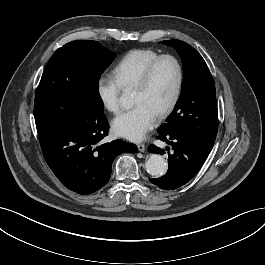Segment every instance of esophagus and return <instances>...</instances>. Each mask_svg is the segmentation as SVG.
<instances>
[{
    "label": "esophagus",
    "instance_id": "1",
    "mask_svg": "<svg viewBox=\"0 0 265 265\" xmlns=\"http://www.w3.org/2000/svg\"><path fill=\"white\" fill-rule=\"evenodd\" d=\"M137 148H138V150L140 151V152H144L145 151V149H146V146H145V144H138L137 145Z\"/></svg>",
    "mask_w": 265,
    "mask_h": 265
}]
</instances>
